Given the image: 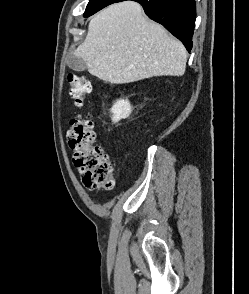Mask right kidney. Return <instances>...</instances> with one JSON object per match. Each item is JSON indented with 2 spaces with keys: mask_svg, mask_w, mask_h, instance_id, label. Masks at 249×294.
I'll return each mask as SVG.
<instances>
[{
  "mask_svg": "<svg viewBox=\"0 0 249 294\" xmlns=\"http://www.w3.org/2000/svg\"><path fill=\"white\" fill-rule=\"evenodd\" d=\"M132 111V107L127 99L117 100L116 103L112 106V121L117 123L121 119L127 118Z\"/></svg>",
  "mask_w": 249,
  "mask_h": 294,
  "instance_id": "1",
  "label": "right kidney"
}]
</instances>
